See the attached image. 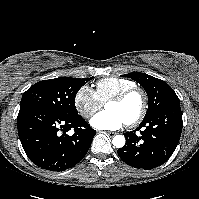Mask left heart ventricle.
<instances>
[{
    "instance_id": "left-heart-ventricle-1",
    "label": "left heart ventricle",
    "mask_w": 199,
    "mask_h": 199,
    "mask_svg": "<svg viewBox=\"0 0 199 199\" xmlns=\"http://www.w3.org/2000/svg\"><path fill=\"white\" fill-rule=\"evenodd\" d=\"M106 108L108 111L119 113L128 122L139 113L141 109V97L139 94H133L124 102H109Z\"/></svg>"
}]
</instances>
